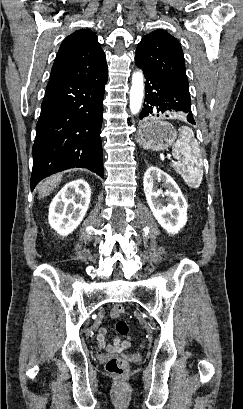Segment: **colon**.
I'll use <instances>...</instances> for the list:
<instances>
[{
  "mask_svg": "<svg viewBox=\"0 0 243 409\" xmlns=\"http://www.w3.org/2000/svg\"><path fill=\"white\" fill-rule=\"evenodd\" d=\"M123 313L124 308L118 305L112 308L111 317L114 319H118ZM115 327L117 332L123 336L127 335L129 332V327L124 320H118ZM106 370L110 375L114 377H121L127 372L128 364L124 359L120 357H114L107 361Z\"/></svg>",
  "mask_w": 243,
  "mask_h": 409,
  "instance_id": "obj_1",
  "label": "colon"
}]
</instances>
